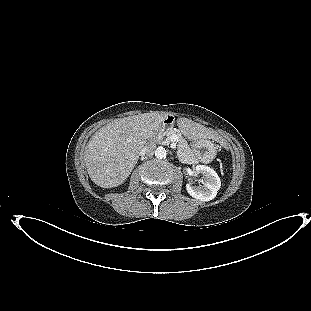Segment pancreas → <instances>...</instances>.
Returning <instances> with one entry per match:
<instances>
[{
  "label": "pancreas",
  "mask_w": 311,
  "mask_h": 311,
  "mask_svg": "<svg viewBox=\"0 0 311 311\" xmlns=\"http://www.w3.org/2000/svg\"><path fill=\"white\" fill-rule=\"evenodd\" d=\"M172 135H176L178 137V154L183 157L184 159H186L187 163H193L196 162L197 159L194 156L191 148L189 147L187 141L182 137L181 133L179 130L177 129H167L166 131H164L162 133V135L160 137H156L155 140L157 142H162L167 144L168 142H170V137ZM166 137V140H163V138Z\"/></svg>",
  "instance_id": "cf45deb5"
}]
</instances>
